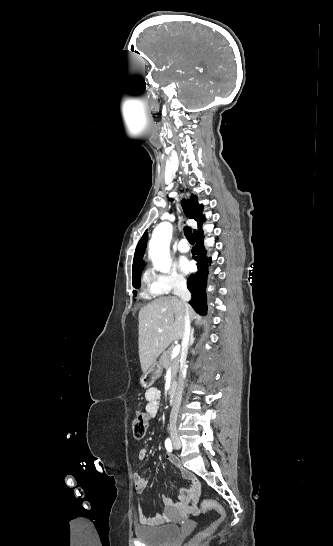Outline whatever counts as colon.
I'll return each mask as SVG.
<instances>
[{"label":"colon","mask_w":333,"mask_h":546,"mask_svg":"<svg viewBox=\"0 0 333 546\" xmlns=\"http://www.w3.org/2000/svg\"><path fill=\"white\" fill-rule=\"evenodd\" d=\"M149 425V418L146 413L137 412L132 419V433L133 437L136 440H142L145 435ZM201 510L203 512L214 510L220 514V518L213 523L205 533H210L216 529L226 518V511L224 507L217 501L206 499L201 502ZM184 546H190V544H185Z\"/></svg>","instance_id":"colon-1"}]
</instances>
